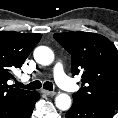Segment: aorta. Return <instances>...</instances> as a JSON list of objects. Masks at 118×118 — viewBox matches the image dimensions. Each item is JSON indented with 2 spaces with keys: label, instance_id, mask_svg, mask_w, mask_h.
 Here are the masks:
<instances>
[{
  "label": "aorta",
  "instance_id": "762f6f07",
  "mask_svg": "<svg viewBox=\"0 0 118 118\" xmlns=\"http://www.w3.org/2000/svg\"><path fill=\"white\" fill-rule=\"evenodd\" d=\"M38 64L50 65L54 61V53L47 46H38L33 53ZM71 97L66 93H59L55 97V105L59 110L66 111L71 107Z\"/></svg>",
  "mask_w": 118,
  "mask_h": 118
}]
</instances>
